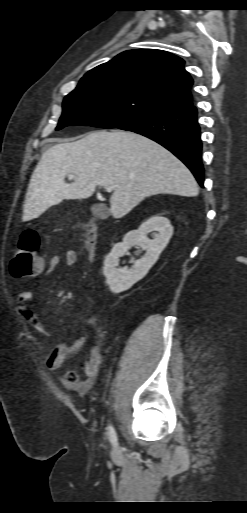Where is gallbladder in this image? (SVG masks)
Instances as JSON below:
<instances>
[{
    "label": "gallbladder",
    "instance_id": "obj_1",
    "mask_svg": "<svg viewBox=\"0 0 247 513\" xmlns=\"http://www.w3.org/2000/svg\"><path fill=\"white\" fill-rule=\"evenodd\" d=\"M91 210H92L94 216H96L98 218L105 217L109 213L107 208L102 204L93 205Z\"/></svg>",
    "mask_w": 247,
    "mask_h": 513
}]
</instances>
